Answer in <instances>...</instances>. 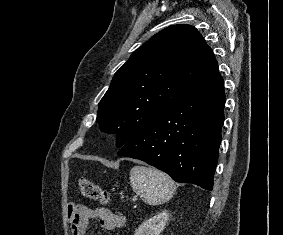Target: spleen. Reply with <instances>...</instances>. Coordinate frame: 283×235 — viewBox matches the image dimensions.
Returning a JSON list of instances; mask_svg holds the SVG:
<instances>
[{
    "mask_svg": "<svg viewBox=\"0 0 283 235\" xmlns=\"http://www.w3.org/2000/svg\"><path fill=\"white\" fill-rule=\"evenodd\" d=\"M129 179L133 191L151 206L169 201L176 189L169 175L151 167L134 166Z\"/></svg>",
    "mask_w": 283,
    "mask_h": 235,
    "instance_id": "spleen-1",
    "label": "spleen"
}]
</instances>
